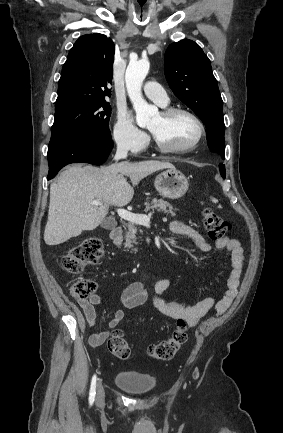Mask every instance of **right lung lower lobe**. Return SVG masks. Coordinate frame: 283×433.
Instances as JSON below:
<instances>
[{
	"label": "right lung lower lobe",
	"mask_w": 283,
	"mask_h": 433,
	"mask_svg": "<svg viewBox=\"0 0 283 433\" xmlns=\"http://www.w3.org/2000/svg\"><path fill=\"white\" fill-rule=\"evenodd\" d=\"M113 148L111 138L86 131L52 132L48 147L49 173L47 179L55 177L58 171L70 163L101 165Z\"/></svg>",
	"instance_id": "1"
}]
</instances>
